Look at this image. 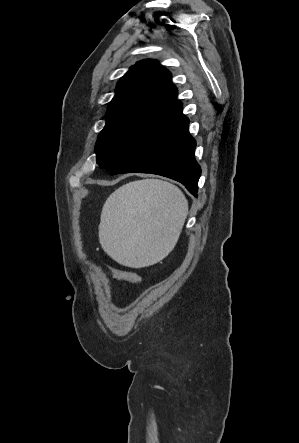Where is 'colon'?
<instances>
[{"mask_svg": "<svg viewBox=\"0 0 299 443\" xmlns=\"http://www.w3.org/2000/svg\"><path fill=\"white\" fill-rule=\"evenodd\" d=\"M108 271L114 280L126 282L131 285H137L140 282V276L135 272L116 270L112 268H109Z\"/></svg>", "mask_w": 299, "mask_h": 443, "instance_id": "obj_1", "label": "colon"}]
</instances>
